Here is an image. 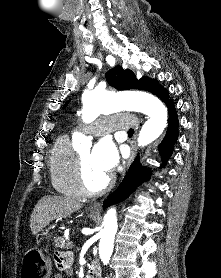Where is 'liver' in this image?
<instances>
[{
  "label": "liver",
  "mask_w": 221,
  "mask_h": 278,
  "mask_svg": "<svg viewBox=\"0 0 221 278\" xmlns=\"http://www.w3.org/2000/svg\"><path fill=\"white\" fill-rule=\"evenodd\" d=\"M83 204L69 197L45 195L35 206L31 218L30 228L33 235L42 231L55 219L70 216L80 210Z\"/></svg>",
  "instance_id": "liver-1"
}]
</instances>
